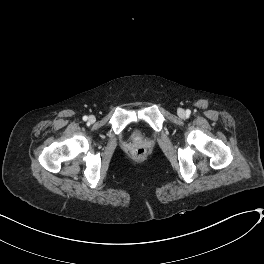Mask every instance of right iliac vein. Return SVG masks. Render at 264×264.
Returning a JSON list of instances; mask_svg holds the SVG:
<instances>
[{
	"label": "right iliac vein",
	"mask_w": 264,
	"mask_h": 264,
	"mask_svg": "<svg viewBox=\"0 0 264 264\" xmlns=\"http://www.w3.org/2000/svg\"><path fill=\"white\" fill-rule=\"evenodd\" d=\"M89 121H90L91 123H93V122L95 121V117L91 115V116L89 117Z\"/></svg>",
	"instance_id": "63e3f726"
}]
</instances>
